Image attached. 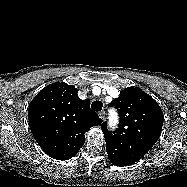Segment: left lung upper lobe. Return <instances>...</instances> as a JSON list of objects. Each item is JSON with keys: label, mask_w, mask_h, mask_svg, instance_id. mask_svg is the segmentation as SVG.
Wrapping results in <instances>:
<instances>
[{"label": "left lung upper lobe", "mask_w": 187, "mask_h": 187, "mask_svg": "<svg viewBox=\"0 0 187 187\" xmlns=\"http://www.w3.org/2000/svg\"><path fill=\"white\" fill-rule=\"evenodd\" d=\"M111 106L118 109L119 127L110 132L104 122L101 129L106 150L132 163L139 161L157 142L163 125V112L158 103L138 87L120 92Z\"/></svg>", "instance_id": "obj_1"}]
</instances>
